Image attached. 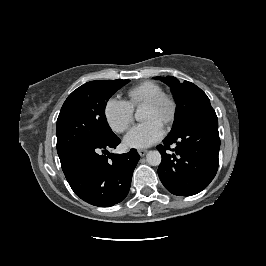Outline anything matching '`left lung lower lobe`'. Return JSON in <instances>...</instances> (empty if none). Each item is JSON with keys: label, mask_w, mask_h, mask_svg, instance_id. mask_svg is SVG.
<instances>
[{"label": "left lung lower lobe", "mask_w": 266, "mask_h": 266, "mask_svg": "<svg viewBox=\"0 0 266 266\" xmlns=\"http://www.w3.org/2000/svg\"><path fill=\"white\" fill-rule=\"evenodd\" d=\"M176 144L173 154L166 153ZM220 138L214 110L199 116L157 146L162 156L158 175L165 188L178 196H191L204 190L216 175Z\"/></svg>", "instance_id": "0a47b994"}]
</instances>
